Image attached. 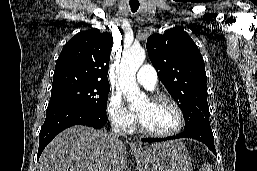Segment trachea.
Masks as SVG:
<instances>
[{
	"label": "trachea",
	"mask_w": 257,
	"mask_h": 171,
	"mask_svg": "<svg viewBox=\"0 0 257 171\" xmlns=\"http://www.w3.org/2000/svg\"><path fill=\"white\" fill-rule=\"evenodd\" d=\"M129 5L133 13L136 12L139 8V3H130Z\"/></svg>",
	"instance_id": "trachea-1"
}]
</instances>
